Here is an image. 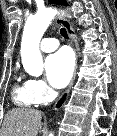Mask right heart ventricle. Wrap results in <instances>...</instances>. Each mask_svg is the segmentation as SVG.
<instances>
[{
  "label": "right heart ventricle",
  "instance_id": "right-heart-ventricle-1",
  "mask_svg": "<svg viewBox=\"0 0 117 136\" xmlns=\"http://www.w3.org/2000/svg\"><path fill=\"white\" fill-rule=\"evenodd\" d=\"M13 101L21 107H31L37 104L36 99L30 89L29 81L16 83L13 88Z\"/></svg>",
  "mask_w": 117,
  "mask_h": 136
}]
</instances>
